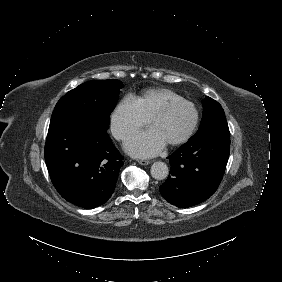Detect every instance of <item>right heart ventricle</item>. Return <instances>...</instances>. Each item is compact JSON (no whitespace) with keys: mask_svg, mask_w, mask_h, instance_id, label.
Segmentation results:
<instances>
[{"mask_svg":"<svg viewBox=\"0 0 282 282\" xmlns=\"http://www.w3.org/2000/svg\"><path fill=\"white\" fill-rule=\"evenodd\" d=\"M135 99L143 113L150 119L151 115L157 111L165 99L181 100L182 98L169 89L153 88L145 91Z\"/></svg>","mask_w":282,"mask_h":282,"instance_id":"e07e8e85","label":"right heart ventricle"}]
</instances>
